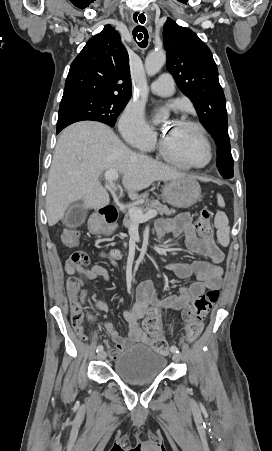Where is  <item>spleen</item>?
<instances>
[{
	"label": "spleen",
	"instance_id": "1",
	"mask_svg": "<svg viewBox=\"0 0 272 451\" xmlns=\"http://www.w3.org/2000/svg\"><path fill=\"white\" fill-rule=\"evenodd\" d=\"M217 202L220 208H225V202L221 194H217ZM214 226L217 227V237L219 243L227 247L230 241L229 220L224 212H217L214 220Z\"/></svg>",
	"mask_w": 272,
	"mask_h": 451
}]
</instances>
